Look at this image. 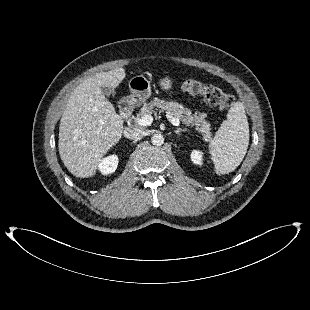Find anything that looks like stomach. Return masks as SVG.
Wrapping results in <instances>:
<instances>
[{
	"instance_id": "obj_1",
	"label": "stomach",
	"mask_w": 310,
	"mask_h": 310,
	"mask_svg": "<svg viewBox=\"0 0 310 310\" xmlns=\"http://www.w3.org/2000/svg\"><path fill=\"white\" fill-rule=\"evenodd\" d=\"M161 90L168 92L173 87V81L169 76L159 80ZM129 89L133 102H145L151 96V82L143 75H138L130 79Z\"/></svg>"
}]
</instances>
